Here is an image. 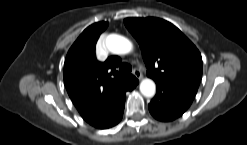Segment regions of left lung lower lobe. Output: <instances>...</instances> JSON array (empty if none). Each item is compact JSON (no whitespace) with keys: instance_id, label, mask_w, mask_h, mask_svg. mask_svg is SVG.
<instances>
[{"instance_id":"0a47b994","label":"left lung lower lobe","mask_w":247,"mask_h":145,"mask_svg":"<svg viewBox=\"0 0 247 145\" xmlns=\"http://www.w3.org/2000/svg\"><path fill=\"white\" fill-rule=\"evenodd\" d=\"M157 93L148 105L152 116L160 121H172L191 105L194 96L166 83L156 82Z\"/></svg>"}]
</instances>
